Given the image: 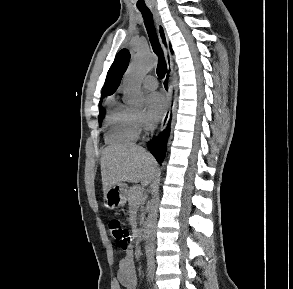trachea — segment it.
I'll return each mask as SVG.
<instances>
[{"mask_svg":"<svg viewBox=\"0 0 293 289\" xmlns=\"http://www.w3.org/2000/svg\"><path fill=\"white\" fill-rule=\"evenodd\" d=\"M140 11L144 19L145 27H146L153 51L158 56L157 75L160 79H163L167 71V65L164 59L163 51L158 41L156 29L153 23L152 13L150 12L149 9H140Z\"/></svg>","mask_w":293,"mask_h":289,"instance_id":"1","label":"trachea"}]
</instances>
